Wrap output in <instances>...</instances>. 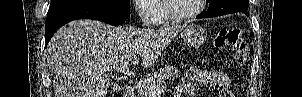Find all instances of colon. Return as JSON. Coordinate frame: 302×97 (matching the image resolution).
I'll return each instance as SVG.
<instances>
[{"label":"colon","instance_id":"colon-1","mask_svg":"<svg viewBox=\"0 0 302 97\" xmlns=\"http://www.w3.org/2000/svg\"><path fill=\"white\" fill-rule=\"evenodd\" d=\"M213 44L217 48H231L233 61L236 64H243L248 58V44L238 27L220 29L213 40Z\"/></svg>","mask_w":302,"mask_h":97}]
</instances>
